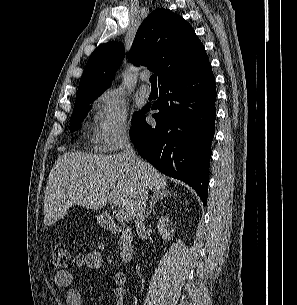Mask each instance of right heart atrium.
<instances>
[{"label": "right heart atrium", "mask_w": 297, "mask_h": 305, "mask_svg": "<svg viewBox=\"0 0 297 305\" xmlns=\"http://www.w3.org/2000/svg\"><path fill=\"white\" fill-rule=\"evenodd\" d=\"M97 135L100 146L109 152L118 150L131 136L129 107L119 92L108 90L96 100Z\"/></svg>", "instance_id": "right-heart-atrium-1"}]
</instances>
